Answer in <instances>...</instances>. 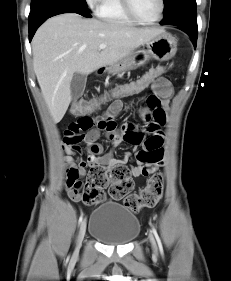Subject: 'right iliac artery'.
Instances as JSON below:
<instances>
[{
	"label": "right iliac artery",
	"mask_w": 231,
	"mask_h": 281,
	"mask_svg": "<svg viewBox=\"0 0 231 281\" xmlns=\"http://www.w3.org/2000/svg\"><path fill=\"white\" fill-rule=\"evenodd\" d=\"M83 220V214H81V216L79 217V224L82 223Z\"/></svg>",
	"instance_id": "82829eb1"
}]
</instances>
